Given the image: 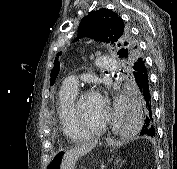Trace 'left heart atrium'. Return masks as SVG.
<instances>
[{
    "label": "left heart atrium",
    "mask_w": 177,
    "mask_h": 169,
    "mask_svg": "<svg viewBox=\"0 0 177 169\" xmlns=\"http://www.w3.org/2000/svg\"><path fill=\"white\" fill-rule=\"evenodd\" d=\"M93 96L95 97V99L102 105H104V101H103V98L102 96L99 94V93H94Z\"/></svg>",
    "instance_id": "left-heart-atrium-1"
}]
</instances>
